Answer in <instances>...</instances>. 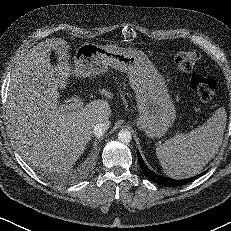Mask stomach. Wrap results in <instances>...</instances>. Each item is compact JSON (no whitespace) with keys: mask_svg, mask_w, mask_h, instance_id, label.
Here are the masks:
<instances>
[{"mask_svg":"<svg viewBox=\"0 0 231 231\" xmlns=\"http://www.w3.org/2000/svg\"><path fill=\"white\" fill-rule=\"evenodd\" d=\"M89 45V44H86ZM80 47L73 58V74L91 78L108 68L125 72L136 94L139 116L137 127L149 138H160L176 118V110L164 77L144 52L116 46L90 44Z\"/></svg>","mask_w":231,"mask_h":231,"instance_id":"1","label":"stomach"}]
</instances>
